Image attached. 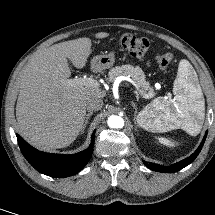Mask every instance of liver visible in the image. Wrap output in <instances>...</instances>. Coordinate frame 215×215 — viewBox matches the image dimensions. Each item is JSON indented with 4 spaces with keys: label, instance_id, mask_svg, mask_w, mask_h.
<instances>
[{
    "label": "liver",
    "instance_id": "liver-1",
    "mask_svg": "<svg viewBox=\"0 0 215 215\" xmlns=\"http://www.w3.org/2000/svg\"><path fill=\"white\" fill-rule=\"evenodd\" d=\"M106 32L95 38L108 37ZM91 40L78 38L37 51L22 71L16 118L20 135L42 149L70 145L84 127L85 101L103 98L99 87L65 84L71 76L68 59L81 69L91 54Z\"/></svg>",
    "mask_w": 215,
    "mask_h": 215
}]
</instances>
